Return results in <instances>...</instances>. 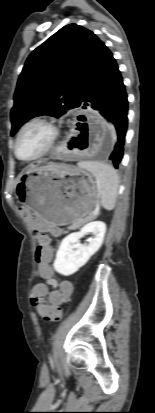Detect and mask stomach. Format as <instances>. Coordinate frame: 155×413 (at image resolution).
<instances>
[{
	"instance_id": "1",
	"label": "stomach",
	"mask_w": 155,
	"mask_h": 413,
	"mask_svg": "<svg viewBox=\"0 0 155 413\" xmlns=\"http://www.w3.org/2000/svg\"><path fill=\"white\" fill-rule=\"evenodd\" d=\"M16 196L40 218L58 226L85 221L99 201L97 183L81 168L30 165L18 177Z\"/></svg>"
}]
</instances>
